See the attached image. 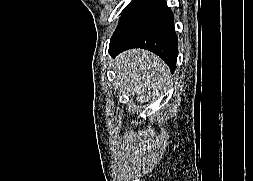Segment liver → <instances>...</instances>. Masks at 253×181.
Here are the masks:
<instances>
[{"instance_id":"1","label":"liver","mask_w":253,"mask_h":181,"mask_svg":"<svg viewBox=\"0 0 253 181\" xmlns=\"http://www.w3.org/2000/svg\"><path fill=\"white\" fill-rule=\"evenodd\" d=\"M115 69L120 86L130 95H136L140 102L159 97L170 81L167 65L146 50L123 52L115 60Z\"/></svg>"}]
</instances>
